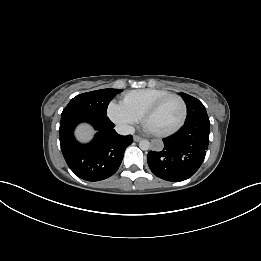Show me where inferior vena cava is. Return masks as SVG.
<instances>
[{
    "label": "inferior vena cava",
    "mask_w": 261,
    "mask_h": 261,
    "mask_svg": "<svg viewBox=\"0 0 261 261\" xmlns=\"http://www.w3.org/2000/svg\"><path fill=\"white\" fill-rule=\"evenodd\" d=\"M115 130L120 135H129L135 132V128L127 124H118L115 126Z\"/></svg>",
    "instance_id": "602c4592"
}]
</instances>
